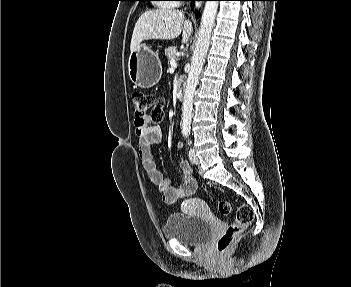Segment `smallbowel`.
Segmentation results:
<instances>
[{
    "label": "small bowel",
    "instance_id": "c3829d8e",
    "mask_svg": "<svg viewBox=\"0 0 351 287\" xmlns=\"http://www.w3.org/2000/svg\"><path fill=\"white\" fill-rule=\"evenodd\" d=\"M135 132L138 137V153L142 165L150 180L158 187L165 203L173 204L181 198L190 196L197 188L196 180L192 176L191 165L183 158L178 161L182 172V181L173 186L171 181L159 170L154 159L152 149L162 141V132L159 126L151 125L150 120H136ZM176 149L181 151L183 143L178 141Z\"/></svg>",
    "mask_w": 351,
    "mask_h": 287
}]
</instances>
